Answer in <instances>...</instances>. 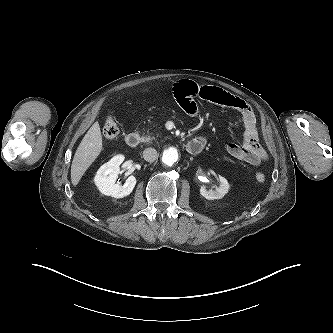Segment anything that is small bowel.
I'll use <instances>...</instances> for the list:
<instances>
[{"label":"small bowel","mask_w":333,"mask_h":333,"mask_svg":"<svg viewBox=\"0 0 333 333\" xmlns=\"http://www.w3.org/2000/svg\"><path fill=\"white\" fill-rule=\"evenodd\" d=\"M173 93L181 107L191 115H196L198 111L196 98L237 111L243 121L244 139L242 144L229 143L226 146L227 152L235 159L253 166L259 165L267 158L266 151L259 143L256 116L244 100L221 88L199 85L190 80H182L176 83L173 87ZM195 139L205 142L203 136Z\"/></svg>","instance_id":"1"}]
</instances>
